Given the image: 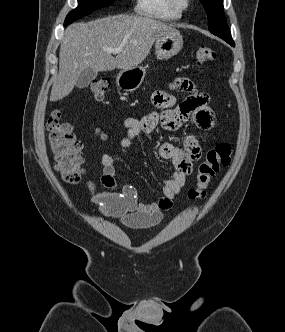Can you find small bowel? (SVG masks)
I'll list each match as a JSON object with an SVG mask.
<instances>
[{
    "label": "small bowel",
    "mask_w": 285,
    "mask_h": 332,
    "mask_svg": "<svg viewBox=\"0 0 285 332\" xmlns=\"http://www.w3.org/2000/svg\"><path fill=\"white\" fill-rule=\"evenodd\" d=\"M172 88L192 92L194 85L188 78L181 77L173 82ZM208 99L204 92H192L179 104V100L166 91L154 92V105L166 111H158L157 116L126 118L123 123L126 134L120 141L121 151L125 153L137 136L149 134L159 118H162V125L168 130H175L190 120L204 131L211 130L215 126L216 117L208 105ZM159 155L171 161V172L163 180L162 196L156 201L143 203L137 189L132 185H125L121 192L116 191L118 183L115 160L109 153H103V170L99 181L105 190L98 191L94 181L87 182L90 199L98 211L105 216L118 218L122 224L129 227L147 228L159 224L164 213L172 207L173 200L184 188L193 163L202 155L199 137L187 136L182 147L163 143L159 147Z\"/></svg>",
    "instance_id": "small-bowel-1"
}]
</instances>
